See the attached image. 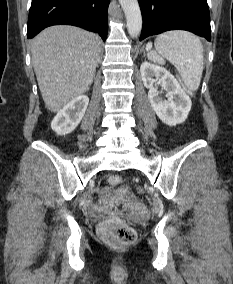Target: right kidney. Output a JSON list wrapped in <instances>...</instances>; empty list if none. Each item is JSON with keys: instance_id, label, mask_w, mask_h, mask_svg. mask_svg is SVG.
I'll return each instance as SVG.
<instances>
[{"instance_id": "1", "label": "right kidney", "mask_w": 233, "mask_h": 284, "mask_svg": "<svg viewBox=\"0 0 233 284\" xmlns=\"http://www.w3.org/2000/svg\"><path fill=\"white\" fill-rule=\"evenodd\" d=\"M89 103L86 95H80L63 107L51 122V128L58 135L71 133L81 122Z\"/></svg>"}]
</instances>
